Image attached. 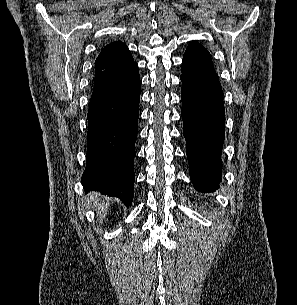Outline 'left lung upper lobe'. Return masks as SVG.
<instances>
[{"instance_id":"1","label":"left lung upper lobe","mask_w":297,"mask_h":305,"mask_svg":"<svg viewBox=\"0 0 297 305\" xmlns=\"http://www.w3.org/2000/svg\"><path fill=\"white\" fill-rule=\"evenodd\" d=\"M213 67L210 53L200 44L190 43L184 53L182 69Z\"/></svg>"}]
</instances>
